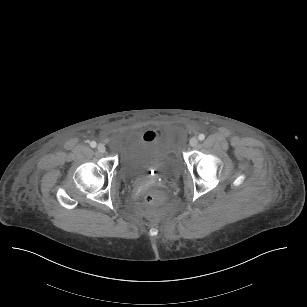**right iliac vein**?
Returning <instances> with one entry per match:
<instances>
[{
  "mask_svg": "<svg viewBox=\"0 0 307 307\" xmlns=\"http://www.w3.org/2000/svg\"><path fill=\"white\" fill-rule=\"evenodd\" d=\"M97 150H98V152H100V153H104V152L106 151V147H105L103 144H99V145L97 146Z\"/></svg>",
  "mask_w": 307,
  "mask_h": 307,
  "instance_id": "1",
  "label": "right iliac vein"
}]
</instances>
